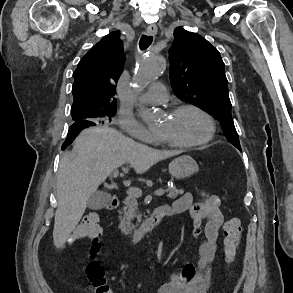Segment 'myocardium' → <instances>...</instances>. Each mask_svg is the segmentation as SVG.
<instances>
[{
  "label": "myocardium",
  "mask_w": 293,
  "mask_h": 293,
  "mask_svg": "<svg viewBox=\"0 0 293 293\" xmlns=\"http://www.w3.org/2000/svg\"><path fill=\"white\" fill-rule=\"evenodd\" d=\"M184 111L197 112L206 120L208 124V131L206 136L196 142H181L173 138L167 137L165 135L159 134L158 135L159 140L165 145L178 147V148H196V147H200L209 143L216 134V123L214 118L204 109L193 104H183V105L177 106L169 111V116H175Z\"/></svg>",
  "instance_id": "1"
}]
</instances>
